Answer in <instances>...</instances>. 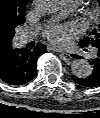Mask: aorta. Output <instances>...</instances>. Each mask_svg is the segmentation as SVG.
Masks as SVG:
<instances>
[{"label":"aorta","instance_id":"aorta-1","mask_svg":"<svg viewBox=\"0 0 100 118\" xmlns=\"http://www.w3.org/2000/svg\"><path fill=\"white\" fill-rule=\"evenodd\" d=\"M38 8L48 14L57 13L61 9L60 0H36ZM72 73L79 77L84 78L91 74L92 67L88 61L84 59H76L71 64Z\"/></svg>","mask_w":100,"mask_h":118}]
</instances>
